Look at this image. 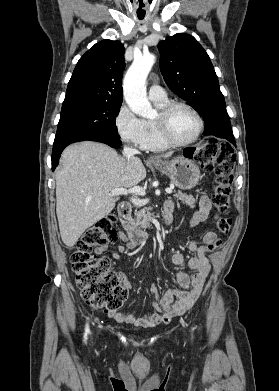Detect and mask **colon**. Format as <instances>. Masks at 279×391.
I'll return each instance as SVG.
<instances>
[{
    "label": "colon",
    "instance_id": "obj_1",
    "mask_svg": "<svg viewBox=\"0 0 279 391\" xmlns=\"http://www.w3.org/2000/svg\"><path fill=\"white\" fill-rule=\"evenodd\" d=\"M191 156L200 167L215 172L217 185L213 194V205L218 213H226L230 204L232 173L235 155L232 148L216 139H208L191 151ZM117 217L109 214L89 227L76 243L71 255L72 270L82 297L92 306L106 311L120 308L127 296L117 274L111 269L107 257H98L96 247L114 243L118 239L115 227ZM217 229L227 234L232 225L230 216L216 217ZM221 245L219 238L207 245L208 251Z\"/></svg>",
    "mask_w": 279,
    "mask_h": 391
}]
</instances>
